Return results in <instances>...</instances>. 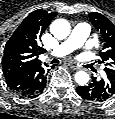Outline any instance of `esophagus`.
Returning <instances> with one entry per match:
<instances>
[{
    "label": "esophagus",
    "instance_id": "obj_1",
    "mask_svg": "<svg viewBox=\"0 0 115 119\" xmlns=\"http://www.w3.org/2000/svg\"><path fill=\"white\" fill-rule=\"evenodd\" d=\"M69 65H70L71 69H73V70H80L81 69V66L77 65L75 63L70 62Z\"/></svg>",
    "mask_w": 115,
    "mask_h": 119
}]
</instances>
